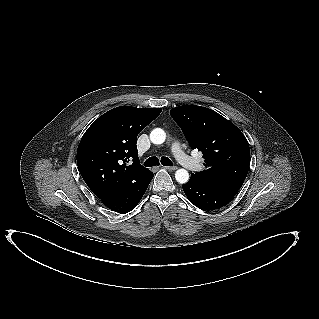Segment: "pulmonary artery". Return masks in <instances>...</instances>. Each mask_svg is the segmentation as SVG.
<instances>
[{
	"label": "pulmonary artery",
	"mask_w": 319,
	"mask_h": 319,
	"mask_svg": "<svg viewBox=\"0 0 319 319\" xmlns=\"http://www.w3.org/2000/svg\"><path fill=\"white\" fill-rule=\"evenodd\" d=\"M172 152L176 159L187 169L192 171H197L200 168V163L198 160L193 159L186 155L184 151L181 149L179 143L175 142L172 145Z\"/></svg>",
	"instance_id": "e3ab8cb5"
}]
</instances>
